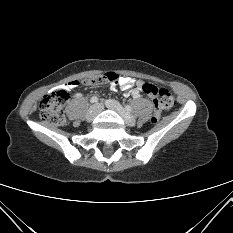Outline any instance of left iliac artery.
<instances>
[{"instance_id":"44dca946","label":"left iliac artery","mask_w":233,"mask_h":233,"mask_svg":"<svg viewBox=\"0 0 233 233\" xmlns=\"http://www.w3.org/2000/svg\"><path fill=\"white\" fill-rule=\"evenodd\" d=\"M125 108H126V110H127L128 112H130V111L132 110L131 107H130L129 105H126Z\"/></svg>"}]
</instances>
